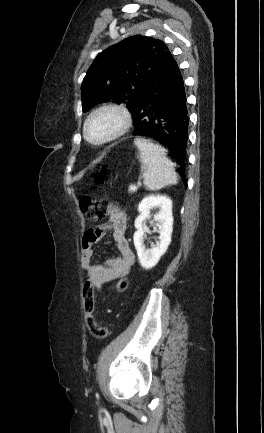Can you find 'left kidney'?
I'll list each match as a JSON object with an SVG mask.
<instances>
[{
  "label": "left kidney",
  "mask_w": 264,
  "mask_h": 433,
  "mask_svg": "<svg viewBox=\"0 0 264 433\" xmlns=\"http://www.w3.org/2000/svg\"><path fill=\"white\" fill-rule=\"evenodd\" d=\"M158 208L154 215L160 233L159 241L151 249L146 250L144 246V224L150 218L152 209ZM140 215L135 220L134 245L137 251L140 265L145 270L152 269L165 254L171 242L173 231L172 201L164 195H149L142 199L138 205Z\"/></svg>",
  "instance_id": "left-kidney-1"
}]
</instances>
